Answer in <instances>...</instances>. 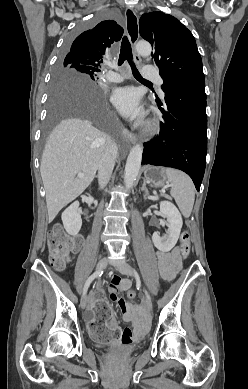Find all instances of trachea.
Instances as JSON below:
<instances>
[{
    "instance_id": "trachea-1",
    "label": "trachea",
    "mask_w": 248,
    "mask_h": 389,
    "mask_svg": "<svg viewBox=\"0 0 248 389\" xmlns=\"http://www.w3.org/2000/svg\"><path fill=\"white\" fill-rule=\"evenodd\" d=\"M127 60L128 63L131 66L133 76L137 80L145 81L150 83L148 80L144 79L139 71L137 70L134 62H133V57H132V50H131V45L127 39V37H124L122 42H121V50H120V55H119V60H118V65H122L124 61Z\"/></svg>"
}]
</instances>
